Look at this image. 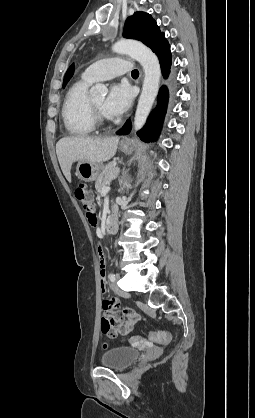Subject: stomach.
<instances>
[{"instance_id":"1","label":"stomach","mask_w":255,"mask_h":418,"mask_svg":"<svg viewBox=\"0 0 255 418\" xmlns=\"http://www.w3.org/2000/svg\"><path fill=\"white\" fill-rule=\"evenodd\" d=\"M120 150L128 153L130 151L129 143H120ZM103 170V164L98 162H78L76 173L79 179L85 182H91L98 178L101 171Z\"/></svg>"}]
</instances>
